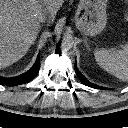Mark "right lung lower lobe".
Returning a JSON list of instances; mask_svg holds the SVG:
<instances>
[{"label": "right lung lower lobe", "instance_id": "obj_1", "mask_svg": "<svg viewBox=\"0 0 128 128\" xmlns=\"http://www.w3.org/2000/svg\"><path fill=\"white\" fill-rule=\"evenodd\" d=\"M39 69H40V54H38L36 62L34 63L32 68L26 73L14 78H4L0 76V85L16 86L20 84H25L31 81L38 74Z\"/></svg>", "mask_w": 128, "mask_h": 128}]
</instances>
